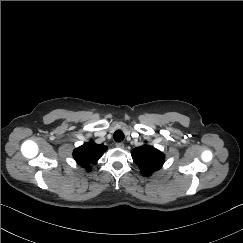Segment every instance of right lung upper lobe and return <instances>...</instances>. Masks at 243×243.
Instances as JSON below:
<instances>
[{
    "label": "right lung upper lobe",
    "instance_id": "obj_1",
    "mask_svg": "<svg viewBox=\"0 0 243 243\" xmlns=\"http://www.w3.org/2000/svg\"><path fill=\"white\" fill-rule=\"evenodd\" d=\"M106 150V146L98 145L91 141L76 148L73 152V157L80 166L90 171V165L96 164Z\"/></svg>",
    "mask_w": 243,
    "mask_h": 243
}]
</instances>
